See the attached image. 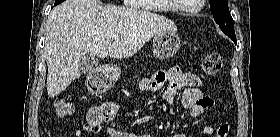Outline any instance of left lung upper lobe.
Masks as SVG:
<instances>
[{"instance_id":"1","label":"left lung upper lobe","mask_w":280,"mask_h":137,"mask_svg":"<svg viewBox=\"0 0 280 137\" xmlns=\"http://www.w3.org/2000/svg\"><path fill=\"white\" fill-rule=\"evenodd\" d=\"M228 0H209L210 9L220 29L236 43L234 23L229 12Z\"/></svg>"}]
</instances>
